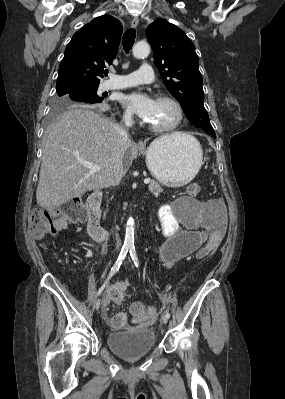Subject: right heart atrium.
<instances>
[{"label":"right heart atrium","mask_w":285,"mask_h":399,"mask_svg":"<svg viewBox=\"0 0 285 399\" xmlns=\"http://www.w3.org/2000/svg\"><path fill=\"white\" fill-rule=\"evenodd\" d=\"M124 118L127 120H131L132 119V112L130 110H126L124 112Z\"/></svg>","instance_id":"right-heart-atrium-1"}]
</instances>
